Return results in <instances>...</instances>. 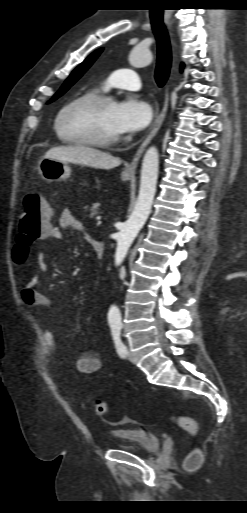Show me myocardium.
<instances>
[{"label": "myocardium", "mask_w": 247, "mask_h": 513, "mask_svg": "<svg viewBox=\"0 0 247 513\" xmlns=\"http://www.w3.org/2000/svg\"><path fill=\"white\" fill-rule=\"evenodd\" d=\"M111 102H115L114 98L108 95H104L101 93H91V94H83L76 99L72 100L65 106L61 108L59 111L56 120H55V128L57 130L58 135L64 136L61 128V121L67 111L70 109L79 106V105H90V106H101L104 104H108ZM70 143L87 145V146H95L108 148L115 146L120 142V137L112 138V139H95L88 137H67Z\"/></svg>", "instance_id": "1"}]
</instances>
